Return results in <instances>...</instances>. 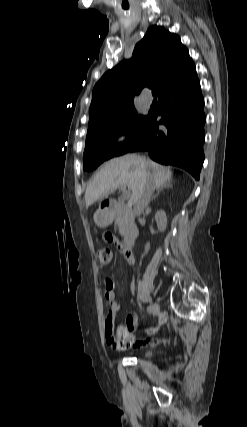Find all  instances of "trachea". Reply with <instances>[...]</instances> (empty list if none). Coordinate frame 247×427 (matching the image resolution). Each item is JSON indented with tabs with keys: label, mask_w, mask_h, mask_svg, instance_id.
<instances>
[{
	"label": "trachea",
	"mask_w": 247,
	"mask_h": 427,
	"mask_svg": "<svg viewBox=\"0 0 247 427\" xmlns=\"http://www.w3.org/2000/svg\"><path fill=\"white\" fill-rule=\"evenodd\" d=\"M152 95L156 96V90L155 89L152 90Z\"/></svg>",
	"instance_id": "trachea-1"
}]
</instances>
